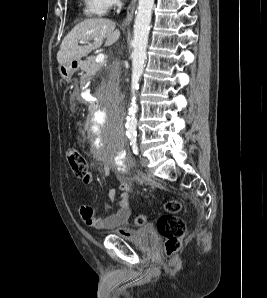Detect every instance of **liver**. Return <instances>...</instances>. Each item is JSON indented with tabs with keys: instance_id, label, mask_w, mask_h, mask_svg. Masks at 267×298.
Here are the masks:
<instances>
[{
	"instance_id": "obj_1",
	"label": "liver",
	"mask_w": 267,
	"mask_h": 298,
	"mask_svg": "<svg viewBox=\"0 0 267 298\" xmlns=\"http://www.w3.org/2000/svg\"><path fill=\"white\" fill-rule=\"evenodd\" d=\"M115 28V22L109 19L90 18L80 22L63 39L57 53L58 63L63 65L73 60H80L101 47L104 39H106L105 46L114 44L120 37V31ZM81 40H93V42L78 45Z\"/></svg>"
}]
</instances>
